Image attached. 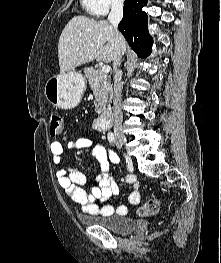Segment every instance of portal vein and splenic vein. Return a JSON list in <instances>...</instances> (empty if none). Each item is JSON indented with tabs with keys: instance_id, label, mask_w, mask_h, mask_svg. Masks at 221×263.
<instances>
[{
	"instance_id": "portal-vein-and-splenic-vein-1",
	"label": "portal vein and splenic vein",
	"mask_w": 221,
	"mask_h": 263,
	"mask_svg": "<svg viewBox=\"0 0 221 263\" xmlns=\"http://www.w3.org/2000/svg\"><path fill=\"white\" fill-rule=\"evenodd\" d=\"M111 70V67L109 65L102 66L99 74H108Z\"/></svg>"
}]
</instances>
